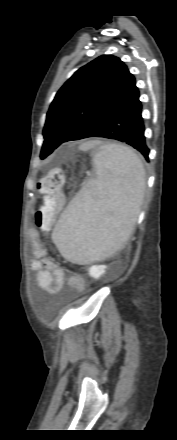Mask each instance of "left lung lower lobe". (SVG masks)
Returning a JSON list of instances; mask_svg holds the SVG:
<instances>
[{"instance_id":"0a47b994","label":"left lung lower lobe","mask_w":177,"mask_h":440,"mask_svg":"<svg viewBox=\"0 0 177 440\" xmlns=\"http://www.w3.org/2000/svg\"><path fill=\"white\" fill-rule=\"evenodd\" d=\"M141 112L142 105L137 89L121 108L84 138L103 137L125 142L137 149L149 161V149L145 142V127Z\"/></svg>"}]
</instances>
